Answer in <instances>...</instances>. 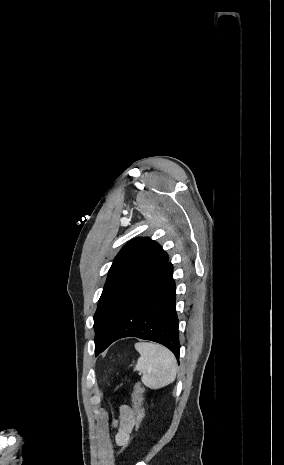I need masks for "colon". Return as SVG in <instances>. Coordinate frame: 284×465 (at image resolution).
<instances>
[{"instance_id": "colon-1", "label": "colon", "mask_w": 284, "mask_h": 465, "mask_svg": "<svg viewBox=\"0 0 284 465\" xmlns=\"http://www.w3.org/2000/svg\"><path fill=\"white\" fill-rule=\"evenodd\" d=\"M143 395H144V390H143L141 384L140 383H135L134 389H133L132 400H133V406H134L135 411H136V413L138 415L137 420H136L138 426H139V424L141 422V418L143 416ZM132 445H133L132 441H129L128 443H125L122 446V449H119V453L116 454V457L117 458H124L125 454L128 453V451L131 449Z\"/></svg>"}]
</instances>
